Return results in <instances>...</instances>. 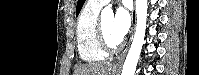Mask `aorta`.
<instances>
[{
	"label": "aorta",
	"instance_id": "aorta-1",
	"mask_svg": "<svg viewBox=\"0 0 199 75\" xmlns=\"http://www.w3.org/2000/svg\"><path fill=\"white\" fill-rule=\"evenodd\" d=\"M136 16L137 24L135 35L124 62L122 75H134L137 62L144 44L148 0H136ZM113 16V10L110 7H105L101 12V18L105 19Z\"/></svg>",
	"mask_w": 199,
	"mask_h": 75
}]
</instances>
